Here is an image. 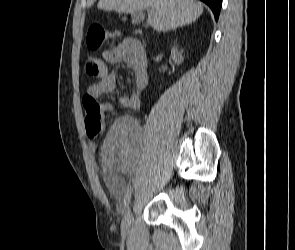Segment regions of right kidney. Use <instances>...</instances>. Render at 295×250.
I'll return each instance as SVG.
<instances>
[{
  "instance_id": "obj_1",
  "label": "right kidney",
  "mask_w": 295,
  "mask_h": 250,
  "mask_svg": "<svg viewBox=\"0 0 295 250\" xmlns=\"http://www.w3.org/2000/svg\"><path fill=\"white\" fill-rule=\"evenodd\" d=\"M171 55L173 56V60L177 64H181L184 60V57L182 56V52L178 51V48L176 45H174L171 49Z\"/></svg>"
}]
</instances>
